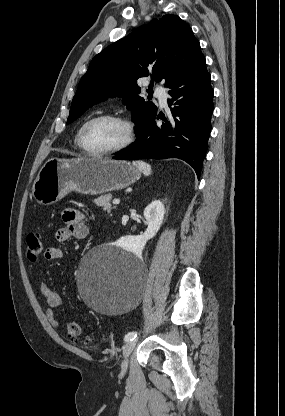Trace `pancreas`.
Wrapping results in <instances>:
<instances>
[{"mask_svg": "<svg viewBox=\"0 0 285 416\" xmlns=\"http://www.w3.org/2000/svg\"><path fill=\"white\" fill-rule=\"evenodd\" d=\"M112 198L113 196H111V194H105V196H100V198H96L93 204H96V206H101L103 210H106V212L110 214L111 210H113L110 204V200H112ZM114 208H116V206H114Z\"/></svg>", "mask_w": 285, "mask_h": 416, "instance_id": "1", "label": "pancreas"}]
</instances>
